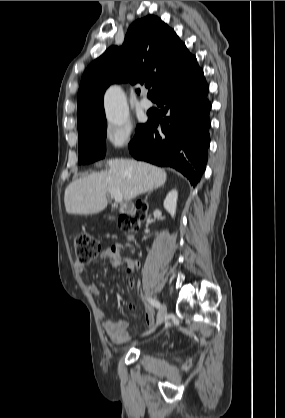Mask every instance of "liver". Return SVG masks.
<instances>
[{
  "label": "liver",
  "mask_w": 285,
  "mask_h": 418,
  "mask_svg": "<svg viewBox=\"0 0 285 418\" xmlns=\"http://www.w3.org/2000/svg\"><path fill=\"white\" fill-rule=\"evenodd\" d=\"M108 170L73 181L65 190L64 204L68 214L92 215L103 211L108 193L120 191L130 201L165 184V170L133 159L107 160Z\"/></svg>",
  "instance_id": "1"
}]
</instances>
